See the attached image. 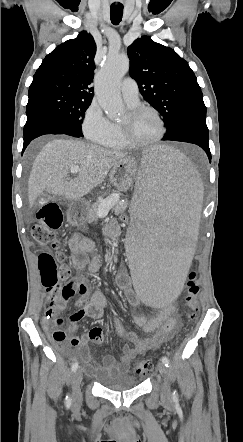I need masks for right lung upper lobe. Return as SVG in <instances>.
Returning a JSON list of instances; mask_svg holds the SVG:
<instances>
[{"mask_svg": "<svg viewBox=\"0 0 243 442\" xmlns=\"http://www.w3.org/2000/svg\"><path fill=\"white\" fill-rule=\"evenodd\" d=\"M96 44L86 31L56 47L43 60L29 87V97L57 92L92 101Z\"/></svg>", "mask_w": 243, "mask_h": 442, "instance_id": "right-lung-upper-lobe-1", "label": "right lung upper lobe"}]
</instances>
